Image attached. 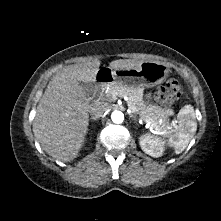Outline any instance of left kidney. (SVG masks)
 Here are the masks:
<instances>
[{
  "label": "left kidney",
  "instance_id": "5707ae66",
  "mask_svg": "<svg viewBox=\"0 0 221 221\" xmlns=\"http://www.w3.org/2000/svg\"><path fill=\"white\" fill-rule=\"evenodd\" d=\"M140 146L141 149L148 155L152 157H160L162 156L165 147L164 143L160 140H153L147 136L140 137Z\"/></svg>",
  "mask_w": 221,
  "mask_h": 221
}]
</instances>
